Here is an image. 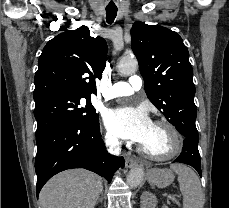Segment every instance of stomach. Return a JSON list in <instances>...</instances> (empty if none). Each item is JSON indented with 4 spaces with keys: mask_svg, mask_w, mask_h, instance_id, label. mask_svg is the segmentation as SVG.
I'll list each match as a JSON object with an SVG mask.
<instances>
[{
    "mask_svg": "<svg viewBox=\"0 0 229 208\" xmlns=\"http://www.w3.org/2000/svg\"><path fill=\"white\" fill-rule=\"evenodd\" d=\"M174 174L171 170H159V168H153V170H148L147 180L153 186H158V188H166L174 182Z\"/></svg>",
    "mask_w": 229,
    "mask_h": 208,
    "instance_id": "0dacf381",
    "label": "stomach"
}]
</instances>
